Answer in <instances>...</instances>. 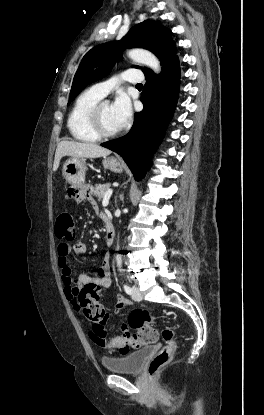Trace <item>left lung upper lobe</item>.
<instances>
[{"mask_svg": "<svg viewBox=\"0 0 264 415\" xmlns=\"http://www.w3.org/2000/svg\"><path fill=\"white\" fill-rule=\"evenodd\" d=\"M171 34V30L162 26L160 21L145 20L131 28L120 41L105 43L91 49L85 54L76 71L68 104L88 84L106 76L126 48H146L160 59L162 68L166 66L177 57L176 44ZM142 71L145 76L153 73L147 68H143Z\"/></svg>", "mask_w": 264, "mask_h": 415, "instance_id": "left-lung-upper-lobe-1", "label": "left lung upper lobe"}]
</instances>
